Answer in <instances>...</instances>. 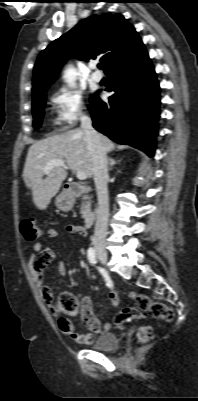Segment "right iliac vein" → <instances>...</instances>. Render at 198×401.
<instances>
[{
	"instance_id": "obj_1",
	"label": "right iliac vein",
	"mask_w": 198,
	"mask_h": 401,
	"mask_svg": "<svg viewBox=\"0 0 198 401\" xmlns=\"http://www.w3.org/2000/svg\"><path fill=\"white\" fill-rule=\"evenodd\" d=\"M96 250V255L99 258V260L101 261L102 264L106 265L107 264V253L106 250L104 249V247L98 245L95 247Z\"/></svg>"
}]
</instances>
